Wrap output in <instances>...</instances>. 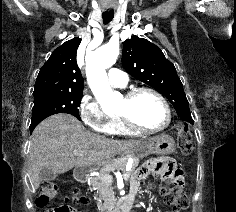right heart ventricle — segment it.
Listing matches in <instances>:
<instances>
[{
    "label": "right heart ventricle",
    "mask_w": 236,
    "mask_h": 212,
    "mask_svg": "<svg viewBox=\"0 0 236 212\" xmlns=\"http://www.w3.org/2000/svg\"><path fill=\"white\" fill-rule=\"evenodd\" d=\"M106 133L120 136H132L135 133L129 131L117 116L110 117Z\"/></svg>",
    "instance_id": "obj_1"
}]
</instances>
